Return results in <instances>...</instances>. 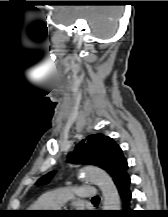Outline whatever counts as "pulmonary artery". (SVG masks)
Wrapping results in <instances>:
<instances>
[{"label": "pulmonary artery", "instance_id": "obj_1", "mask_svg": "<svg viewBox=\"0 0 168 217\" xmlns=\"http://www.w3.org/2000/svg\"><path fill=\"white\" fill-rule=\"evenodd\" d=\"M98 192L99 188L94 186L63 187L46 192L41 200L51 209H59L72 199H92Z\"/></svg>", "mask_w": 168, "mask_h": 217}]
</instances>
